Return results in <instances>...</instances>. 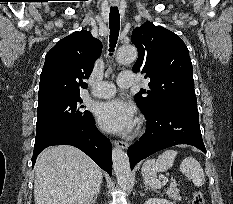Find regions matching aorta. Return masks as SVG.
Returning <instances> with one entry per match:
<instances>
[{"label": "aorta", "instance_id": "1", "mask_svg": "<svg viewBox=\"0 0 233 204\" xmlns=\"http://www.w3.org/2000/svg\"><path fill=\"white\" fill-rule=\"evenodd\" d=\"M138 52L134 46H121L116 55V60L120 64H129L137 59ZM113 168L120 187L127 189L130 184L131 170L127 154L120 148L112 151Z\"/></svg>", "mask_w": 233, "mask_h": 204}]
</instances>
